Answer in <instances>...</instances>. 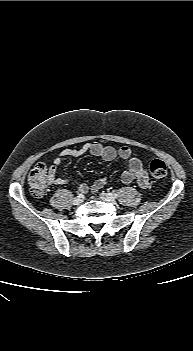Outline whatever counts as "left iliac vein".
<instances>
[{
    "label": "left iliac vein",
    "mask_w": 193,
    "mask_h": 351,
    "mask_svg": "<svg viewBox=\"0 0 193 351\" xmlns=\"http://www.w3.org/2000/svg\"><path fill=\"white\" fill-rule=\"evenodd\" d=\"M101 200L115 204L116 200L108 193L102 192L99 194Z\"/></svg>",
    "instance_id": "4c4485c4"
}]
</instances>
